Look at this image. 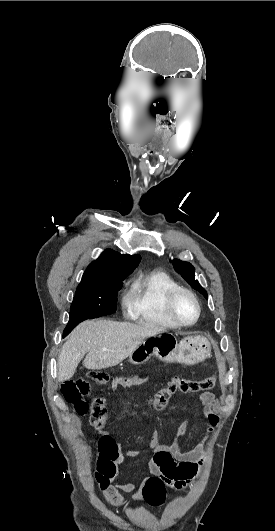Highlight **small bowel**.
<instances>
[{"instance_id":"c3829d8e","label":"small bowel","mask_w":275,"mask_h":531,"mask_svg":"<svg viewBox=\"0 0 275 531\" xmlns=\"http://www.w3.org/2000/svg\"><path fill=\"white\" fill-rule=\"evenodd\" d=\"M108 380L112 383L114 391L125 392L129 388L126 380L130 383H141L146 380V377L141 374H130L126 377L123 373H112L109 375ZM199 401L202 405L206 435L194 448L190 450H182L181 448L182 437L188 428L187 422H184L179 427L173 442L170 444L160 443L158 431H154L152 434L150 449L153 452V456L147 463L148 470L158 471L160 476L164 477L166 484L176 490L184 489L198 474L206 459L205 442L219 423V417L213 408L215 402L214 394L205 392L200 395ZM108 444H117L119 446L117 441L109 434L101 435L96 442L98 448L105 447ZM139 453L137 450H128L121 455L116 463L120 464L125 460L134 459ZM115 476L107 480L98 473L95 475L105 502L113 508L125 510L128 508L129 503L123 498L121 493H130L135 503H141L144 484L142 482L114 483Z\"/></svg>"}]
</instances>
